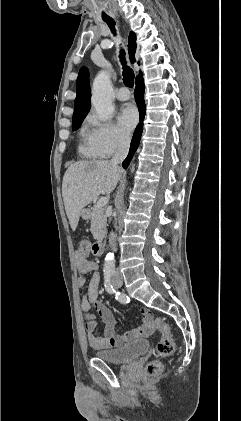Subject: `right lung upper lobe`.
Segmentation results:
<instances>
[{"mask_svg": "<svg viewBox=\"0 0 241 421\" xmlns=\"http://www.w3.org/2000/svg\"><path fill=\"white\" fill-rule=\"evenodd\" d=\"M128 51L131 62H135L136 36L130 32L128 38ZM76 98L73 118L86 116L91 107L90 86L86 68H81L76 83Z\"/></svg>", "mask_w": 241, "mask_h": 421, "instance_id": "obj_1", "label": "right lung upper lobe"}]
</instances>
